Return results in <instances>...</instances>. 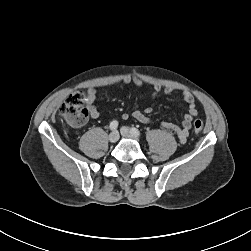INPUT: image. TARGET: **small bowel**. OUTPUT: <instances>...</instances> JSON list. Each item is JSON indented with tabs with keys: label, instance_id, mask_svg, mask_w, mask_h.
<instances>
[{
	"label": "small bowel",
	"instance_id": "small-bowel-1",
	"mask_svg": "<svg viewBox=\"0 0 251 251\" xmlns=\"http://www.w3.org/2000/svg\"><path fill=\"white\" fill-rule=\"evenodd\" d=\"M122 82L125 84H133L137 87H142L145 85V82L142 79H140L138 77H134V76H129V75H126L122 79ZM150 88L152 91V97H155L162 90L165 94H171L174 91V89L171 87L162 88L161 85H159V84H152V85H150ZM96 97H97L96 89L95 88H88L87 89V96H86V104H87L88 115L92 119H97L100 116L99 110L97 109V107L94 104ZM182 98L188 104V111L184 115L183 120L181 122V125H176V124L168 122V121H163L161 123V125L163 128L173 131L177 135L179 141L181 143H184V142H186V140L189 136V133H190V130L192 127V121L197 116L198 112L196 109L194 96L192 95L191 92L183 91ZM152 111H153L152 107H147V108H145L144 111L135 110L132 113V117L141 123H149L150 122L149 115L152 113ZM122 118L128 119L129 114L124 113L122 115Z\"/></svg>",
	"mask_w": 251,
	"mask_h": 251
}]
</instances>
